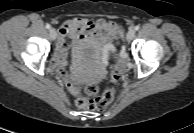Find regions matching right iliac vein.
<instances>
[{"instance_id": "63e3f726", "label": "right iliac vein", "mask_w": 194, "mask_h": 133, "mask_svg": "<svg viewBox=\"0 0 194 133\" xmlns=\"http://www.w3.org/2000/svg\"><path fill=\"white\" fill-rule=\"evenodd\" d=\"M49 32H50L51 38H52L53 40H55L56 37H57V31H56V29H55V28H51Z\"/></svg>"}]
</instances>
